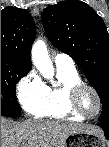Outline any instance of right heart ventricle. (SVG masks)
I'll return each mask as SVG.
<instances>
[{
	"label": "right heart ventricle",
	"mask_w": 109,
	"mask_h": 147,
	"mask_svg": "<svg viewBox=\"0 0 109 147\" xmlns=\"http://www.w3.org/2000/svg\"><path fill=\"white\" fill-rule=\"evenodd\" d=\"M57 82L45 85L46 100L42 103L25 105V110L32 116L49 117L56 120L82 122L84 117L76 114L69 103L71 88L82 82L75 68L66 69L56 67Z\"/></svg>",
	"instance_id": "e07e8e85"
}]
</instances>
